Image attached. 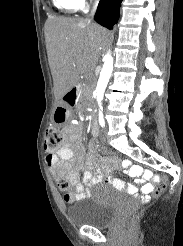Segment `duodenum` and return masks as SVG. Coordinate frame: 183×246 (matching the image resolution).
I'll list each match as a JSON object with an SVG mask.
<instances>
[{
    "instance_id": "410a0bca",
    "label": "duodenum",
    "mask_w": 183,
    "mask_h": 246,
    "mask_svg": "<svg viewBox=\"0 0 183 246\" xmlns=\"http://www.w3.org/2000/svg\"><path fill=\"white\" fill-rule=\"evenodd\" d=\"M80 91L79 86H73L63 97V100L70 106H75L77 103L78 94ZM99 140L95 139L94 143H91L89 146V151H100L101 145L98 146Z\"/></svg>"
}]
</instances>
